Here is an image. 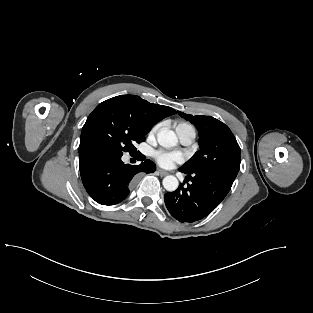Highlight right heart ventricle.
I'll use <instances>...</instances> for the list:
<instances>
[{
  "label": "right heart ventricle",
  "mask_w": 313,
  "mask_h": 313,
  "mask_svg": "<svg viewBox=\"0 0 313 313\" xmlns=\"http://www.w3.org/2000/svg\"><path fill=\"white\" fill-rule=\"evenodd\" d=\"M176 132L178 135H180L183 132H192V133L196 134L195 128L187 122L178 123L176 126Z\"/></svg>",
  "instance_id": "right-heart-ventricle-1"
}]
</instances>
